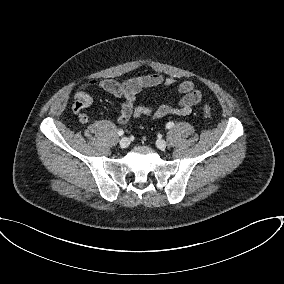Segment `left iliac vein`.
<instances>
[{"label": "left iliac vein", "mask_w": 284, "mask_h": 284, "mask_svg": "<svg viewBox=\"0 0 284 284\" xmlns=\"http://www.w3.org/2000/svg\"><path fill=\"white\" fill-rule=\"evenodd\" d=\"M156 145H157V147L159 149L164 150L166 148V146H167V143H166V141L164 139H158L156 141Z\"/></svg>", "instance_id": "4c4485c4"}]
</instances>
